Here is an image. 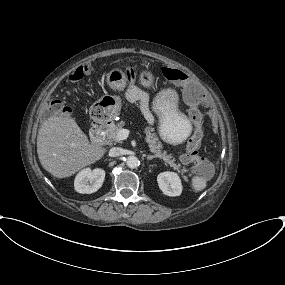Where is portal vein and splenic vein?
Returning a JSON list of instances; mask_svg holds the SVG:
<instances>
[{
    "label": "portal vein and splenic vein",
    "mask_w": 285,
    "mask_h": 285,
    "mask_svg": "<svg viewBox=\"0 0 285 285\" xmlns=\"http://www.w3.org/2000/svg\"><path fill=\"white\" fill-rule=\"evenodd\" d=\"M129 133H130V131H129L128 129L122 128V129H120V130L117 132V139H118L119 141L125 140V139L128 138Z\"/></svg>",
    "instance_id": "18ae733b"
}]
</instances>
